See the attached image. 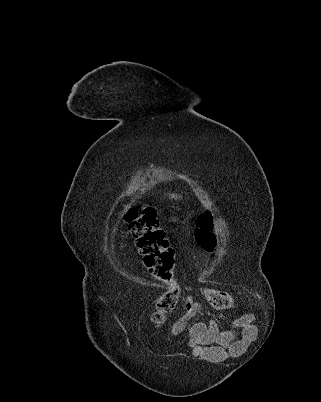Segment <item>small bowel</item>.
<instances>
[{
  "instance_id": "1",
  "label": "small bowel",
  "mask_w": 321,
  "mask_h": 402,
  "mask_svg": "<svg viewBox=\"0 0 321 402\" xmlns=\"http://www.w3.org/2000/svg\"><path fill=\"white\" fill-rule=\"evenodd\" d=\"M201 310L202 306L197 304L186 307L169 329L176 333L188 328V345L196 356L213 361L223 360L240 355L255 339L257 322L252 320L251 315H240L239 320L231 321L232 329H244L242 337L235 339L231 332L222 331L215 321L191 322Z\"/></svg>"
}]
</instances>
